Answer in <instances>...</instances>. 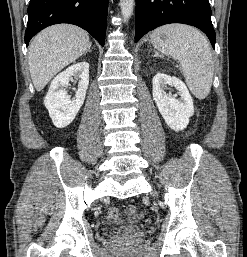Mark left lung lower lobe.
Listing matches in <instances>:
<instances>
[{
    "mask_svg": "<svg viewBox=\"0 0 247 257\" xmlns=\"http://www.w3.org/2000/svg\"><path fill=\"white\" fill-rule=\"evenodd\" d=\"M169 23L199 28L215 48L216 34L208 0H136L135 42L149 31Z\"/></svg>",
    "mask_w": 247,
    "mask_h": 257,
    "instance_id": "0a47b994",
    "label": "left lung lower lobe"
}]
</instances>
